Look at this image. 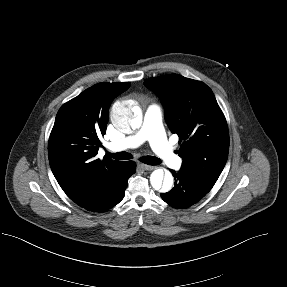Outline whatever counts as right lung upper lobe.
Listing matches in <instances>:
<instances>
[{"instance_id":"obj_1","label":"right lung upper lobe","mask_w":287,"mask_h":287,"mask_svg":"<svg viewBox=\"0 0 287 287\" xmlns=\"http://www.w3.org/2000/svg\"><path fill=\"white\" fill-rule=\"evenodd\" d=\"M129 87V82L96 84L57 113L48 143L49 163L63 191L78 205L90 200L123 164L96 155L99 137L106 134L110 104Z\"/></svg>"}]
</instances>
